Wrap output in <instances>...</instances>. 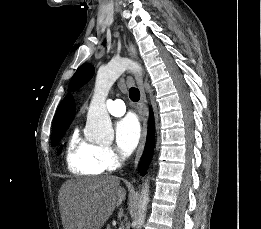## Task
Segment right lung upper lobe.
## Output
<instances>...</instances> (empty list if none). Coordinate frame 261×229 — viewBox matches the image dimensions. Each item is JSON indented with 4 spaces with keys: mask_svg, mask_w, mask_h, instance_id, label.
Wrapping results in <instances>:
<instances>
[{
    "mask_svg": "<svg viewBox=\"0 0 261 229\" xmlns=\"http://www.w3.org/2000/svg\"><path fill=\"white\" fill-rule=\"evenodd\" d=\"M75 115V105L71 95H67L60 103L54 116L53 126L71 123Z\"/></svg>",
    "mask_w": 261,
    "mask_h": 229,
    "instance_id": "obj_1",
    "label": "right lung upper lobe"
}]
</instances>
